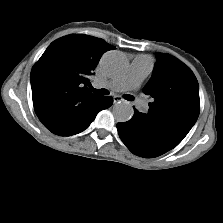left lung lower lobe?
I'll list each match as a JSON object with an SVG mask.
<instances>
[{
    "instance_id": "left-lung-lower-lobe-1",
    "label": "left lung lower lobe",
    "mask_w": 223,
    "mask_h": 223,
    "mask_svg": "<svg viewBox=\"0 0 223 223\" xmlns=\"http://www.w3.org/2000/svg\"><path fill=\"white\" fill-rule=\"evenodd\" d=\"M136 112L137 110L128 122L117 124L121 140L132 153L153 158L168 152L181 142L170 134L150 129L139 119Z\"/></svg>"
}]
</instances>
